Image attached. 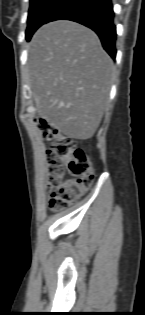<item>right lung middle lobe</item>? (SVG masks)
I'll return each instance as SVG.
<instances>
[{"label":"right lung middle lobe","mask_w":145,"mask_h":315,"mask_svg":"<svg viewBox=\"0 0 145 315\" xmlns=\"http://www.w3.org/2000/svg\"><path fill=\"white\" fill-rule=\"evenodd\" d=\"M65 1L66 0H30L26 39L30 40L33 33L43 25Z\"/></svg>","instance_id":"right-lung-middle-lobe-1"}]
</instances>
